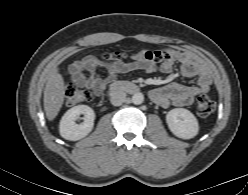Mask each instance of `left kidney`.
<instances>
[{"label":"left kidney","mask_w":248,"mask_h":195,"mask_svg":"<svg viewBox=\"0 0 248 195\" xmlns=\"http://www.w3.org/2000/svg\"><path fill=\"white\" fill-rule=\"evenodd\" d=\"M170 131L182 139H191L198 134L199 124L196 117L187 109L175 108L166 115Z\"/></svg>","instance_id":"1"}]
</instances>
